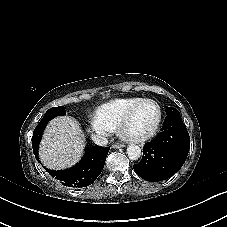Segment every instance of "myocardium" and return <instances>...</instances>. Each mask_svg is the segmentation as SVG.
<instances>
[{
    "instance_id": "f54148a6",
    "label": "myocardium",
    "mask_w": 227,
    "mask_h": 227,
    "mask_svg": "<svg viewBox=\"0 0 227 227\" xmlns=\"http://www.w3.org/2000/svg\"><path fill=\"white\" fill-rule=\"evenodd\" d=\"M144 103H152L154 105H156L157 109H158V118L156 121V124L154 125V127L152 128V130L146 134H142V135H137V134H130L127 133L125 131V127L129 121V119L131 118V116L133 115V113L137 110V108L144 104ZM161 119H162V110L160 105L158 104V102H156L155 100L152 99H141L139 102H137L136 104H134L123 116V118L121 119L119 125H118V129H117V133L118 135L123 138L126 141H130V142H142L145 141L149 138H151L156 131L158 130L160 123H161Z\"/></svg>"
}]
</instances>
